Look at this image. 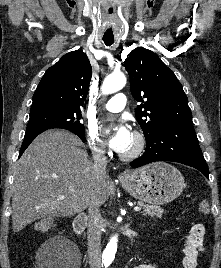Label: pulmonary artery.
I'll return each mask as SVG.
<instances>
[{
	"label": "pulmonary artery",
	"instance_id": "e3ab8cb5",
	"mask_svg": "<svg viewBox=\"0 0 221 268\" xmlns=\"http://www.w3.org/2000/svg\"><path fill=\"white\" fill-rule=\"evenodd\" d=\"M126 96L123 93L114 95L106 104L105 109L109 112H120L126 105Z\"/></svg>",
	"mask_w": 221,
	"mask_h": 268
}]
</instances>
